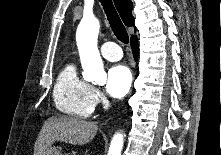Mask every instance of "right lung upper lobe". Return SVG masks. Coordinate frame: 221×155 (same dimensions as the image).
Segmentation results:
<instances>
[{"label": "right lung upper lobe", "instance_id": "1", "mask_svg": "<svg viewBox=\"0 0 221 155\" xmlns=\"http://www.w3.org/2000/svg\"><path fill=\"white\" fill-rule=\"evenodd\" d=\"M114 4L126 26L134 24V17L132 16L133 4L131 0H114Z\"/></svg>", "mask_w": 221, "mask_h": 155}]
</instances>
